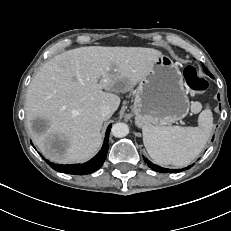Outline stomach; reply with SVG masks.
<instances>
[{"label": "stomach", "instance_id": "0dacf381", "mask_svg": "<svg viewBox=\"0 0 231 231\" xmlns=\"http://www.w3.org/2000/svg\"><path fill=\"white\" fill-rule=\"evenodd\" d=\"M132 111L138 127H165L184 118L189 99L183 76L170 57L162 55L134 92Z\"/></svg>", "mask_w": 231, "mask_h": 231}]
</instances>
